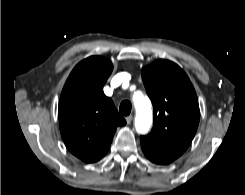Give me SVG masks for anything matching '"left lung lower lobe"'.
Wrapping results in <instances>:
<instances>
[{
  "label": "left lung lower lobe",
  "instance_id": "left-lung-lower-lobe-1",
  "mask_svg": "<svg viewBox=\"0 0 245 195\" xmlns=\"http://www.w3.org/2000/svg\"><path fill=\"white\" fill-rule=\"evenodd\" d=\"M140 142L145 156L156 164H169L184 152L176 148L162 146L145 136L140 137Z\"/></svg>",
  "mask_w": 245,
  "mask_h": 195
}]
</instances>
